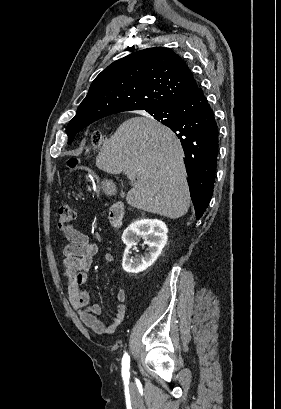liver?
<instances>
[{
  "label": "liver",
  "instance_id": "1",
  "mask_svg": "<svg viewBox=\"0 0 281 409\" xmlns=\"http://www.w3.org/2000/svg\"><path fill=\"white\" fill-rule=\"evenodd\" d=\"M96 166L110 172H125L132 186L128 205L169 219L188 213L190 194L183 150L174 132L150 118L124 120L102 144Z\"/></svg>",
  "mask_w": 281,
  "mask_h": 409
}]
</instances>
